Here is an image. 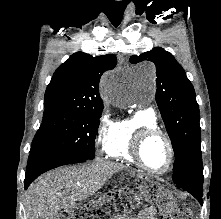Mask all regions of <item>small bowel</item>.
Returning a JSON list of instances; mask_svg holds the SVG:
<instances>
[{
	"mask_svg": "<svg viewBox=\"0 0 221 219\" xmlns=\"http://www.w3.org/2000/svg\"><path fill=\"white\" fill-rule=\"evenodd\" d=\"M131 219H156V210L154 208H146L138 216Z\"/></svg>",
	"mask_w": 221,
	"mask_h": 219,
	"instance_id": "c3829d8e",
	"label": "small bowel"
}]
</instances>
